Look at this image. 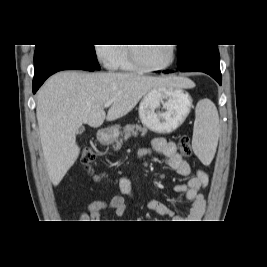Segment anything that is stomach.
<instances>
[{
	"instance_id": "stomach-1",
	"label": "stomach",
	"mask_w": 267,
	"mask_h": 267,
	"mask_svg": "<svg viewBox=\"0 0 267 267\" xmlns=\"http://www.w3.org/2000/svg\"><path fill=\"white\" fill-rule=\"evenodd\" d=\"M192 98L181 87H160L149 91L139 105V117L150 130L166 134L176 130L188 116ZM118 136L114 128L107 134H100L103 144L111 143Z\"/></svg>"
}]
</instances>
